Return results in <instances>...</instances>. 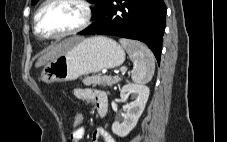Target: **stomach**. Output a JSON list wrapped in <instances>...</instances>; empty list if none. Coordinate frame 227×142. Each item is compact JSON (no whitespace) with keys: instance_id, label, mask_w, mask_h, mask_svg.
<instances>
[{"instance_id":"obj_1","label":"stomach","mask_w":227,"mask_h":142,"mask_svg":"<svg viewBox=\"0 0 227 142\" xmlns=\"http://www.w3.org/2000/svg\"><path fill=\"white\" fill-rule=\"evenodd\" d=\"M125 60L124 49L105 36H93L74 44L43 68L41 80L45 83L67 82L103 69L115 68Z\"/></svg>"}]
</instances>
